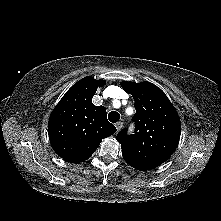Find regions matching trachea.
<instances>
[{"label": "trachea", "instance_id": "1", "mask_svg": "<svg viewBox=\"0 0 221 221\" xmlns=\"http://www.w3.org/2000/svg\"><path fill=\"white\" fill-rule=\"evenodd\" d=\"M108 119L110 122L112 123H116L119 121L120 119V114L116 111H111L109 114H108Z\"/></svg>", "mask_w": 221, "mask_h": 221}]
</instances>
